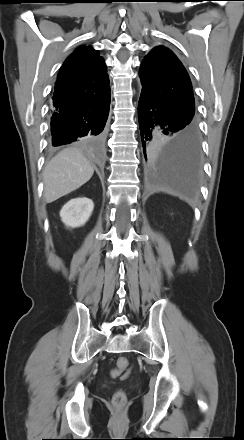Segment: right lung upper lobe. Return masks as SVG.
I'll list each match as a JSON object with an SVG mask.
<instances>
[{
    "mask_svg": "<svg viewBox=\"0 0 244 440\" xmlns=\"http://www.w3.org/2000/svg\"><path fill=\"white\" fill-rule=\"evenodd\" d=\"M110 94L106 65L98 51L82 46L62 65L55 83L53 110L69 111Z\"/></svg>",
    "mask_w": 244,
    "mask_h": 440,
    "instance_id": "1",
    "label": "right lung upper lobe"
}]
</instances>
